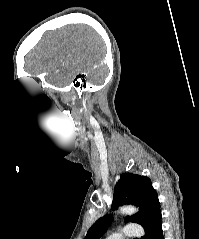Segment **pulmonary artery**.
<instances>
[{
    "label": "pulmonary artery",
    "mask_w": 199,
    "mask_h": 239,
    "mask_svg": "<svg viewBox=\"0 0 199 239\" xmlns=\"http://www.w3.org/2000/svg\"><path fill=\"white\" fill-rule=\"evenodd\" d=\"M143 230L139 224H129L122 231L115 232L107 237V239H126L140 237Z\"/></svg>",
    "instance_id": "e3ab8cb5"
}]
</instances>
